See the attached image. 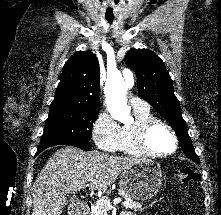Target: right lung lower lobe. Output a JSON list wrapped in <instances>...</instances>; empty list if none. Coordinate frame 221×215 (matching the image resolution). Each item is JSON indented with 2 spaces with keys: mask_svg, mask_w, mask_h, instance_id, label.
Here are the masks:
<instances>
[{
  "mask_svg": "<svg viewBox=\"0 0 221 215\" xmlns=\"http://www.w3.org/2000/svg\"><path fill=\"white\" fill-rule=\"evenodd\" d=\"M62 145L75 146V147H78V148L83 149L85 151H88V150L91 149L89 140H78V141H73V142H69V143H66V144H62ZM51 146H54V145H40L37 149L36 155L39 154L40 152H42L43 150H45L46 148L51 147Z\"/></svg>",
  "mask_w": 221,
  "mask_h": 215,
  "instance_id": "1",
  "label": "right lung lower lobe"
}]
</instances>
